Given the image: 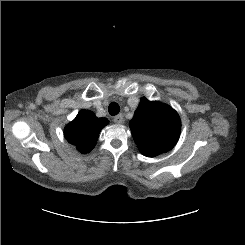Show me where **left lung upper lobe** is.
I'll return each mask as SVG.
<instances>
[{
    "label": "left lung upper lobe",
    "instance_id": "obj_1",
    "mask_svg": "<svg viewBox=\"0 0 245 245\" xmlns=\"http://www.w3.org/2000/svg\"><path fill=\"white\" fill-rule=\"evenodd\" d=\"M129 125L140 153L147 157L171 150L181 130L179 115L173 108L146 98L141 99Z\"/></svg>",
    "mask_w": 245,
    "mask_h": 245
}]
</instances>
